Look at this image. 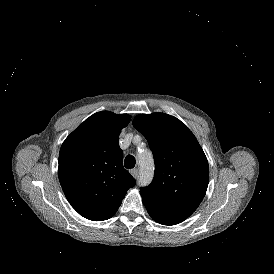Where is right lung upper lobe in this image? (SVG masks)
I'll return each instance as SVG.
<instances>
[{"mask_svg":"<svg viewBox=\"0 0 274 274\" xmlns=\"http://www.w3.org/2000/svg\"><path fill=\"white\" fill-rule=\"evenodd\" d=\"M128 114L95 113L64 141L58 176L64 194L83 217L102 221L112 217L135 179L123 167L119 133Z\"/></svg>","mask_w":274,"mask_h":274,"instance_id":"cb5924a9","label":"right lung upper lobe"}]
</instances>
